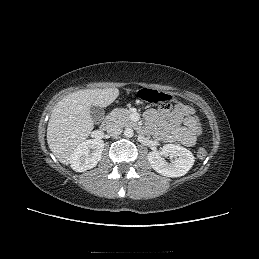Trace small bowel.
I'll return each instance as SVG.
<instances>
[{
	"label": "small bowel",
	"instance_id": "obj_1",
	"mask_svg": "<svg viewBox=\"0 0 259 259\" xmlns=\"http://www.w3.org/2000/svg\"><path fill=\"white\" fill-rule=\"evenodd\" d=\"M151 129L158 139L165 142H179L184 146H193L196 143L192 117L194 110L186 105H176L171 109L161 107L149 109L144 114Z\"/></svg>",
	"mask_w": 259,
	"mask_h": 259
}]
</instances>
